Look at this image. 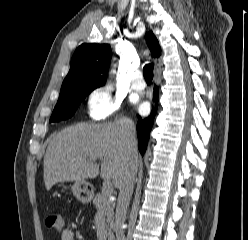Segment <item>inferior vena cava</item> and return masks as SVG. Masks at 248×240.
Returning a JSON list of instances; mask_svg holds the SVG:
<instances>
[{"label": "inferior vena cava", "mask_w": 248, "mask_h": 240, "mask_svg": "<svg viewBox=\"0 0 248 240\" xmlns=\"http://www.w3.org/2000/svg\"><path fill=\"white\" fill-rule=\"evenodd\" d=\"M124 140L127 144L129 155L127 164L122 176L119 179V196L115 214V234L116 240H125L123 225L126 219L130 198L133 193L134 180L137 173V162L133 152L137 150L134 123L127 122L124 127Z\"/></svg>", "instance_id": "602c4592"}]
</instances>
